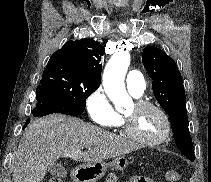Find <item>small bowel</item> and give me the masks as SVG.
Returning <instances> with one entry per match:
<instances>
[{"label":"small bowel","mask_w":211,"mask_h":182,"mask_svg":"<svg viewBox=\"0 0 211 182\" xmlns=\"http://www.w3.org/2000/svg\"><path fill=\"white\" fill-rule=\"evenodd\" d=\"M111 182H118L117 177L115 175H113V180ZM130 182H154V181L144 177H134L130 180Z\"/></svg>","instance_id":"obj_1"}]
</instances>
